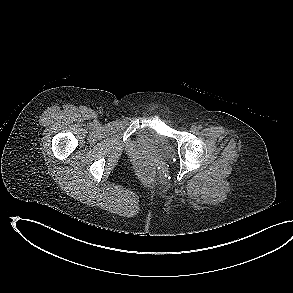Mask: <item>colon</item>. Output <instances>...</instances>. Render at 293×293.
<instances>
[{
    "label": "colon",
    "instance_id": "obj_1",
    "mask_svg": "<svg viewBox=\"0 0 293 293\" xmlns=\"http://www.w3.org/2000/svg\"><path fill=\"white\" fill-rule=\"evenodd\" d=\"M144 175H145V177L147 178V179H151L153 176H154V171H153V169L152 168H146L145 170H144Z\"/></svg>",
    "mask_w": 293,
    "mask_h": 293
}]
</instances>
